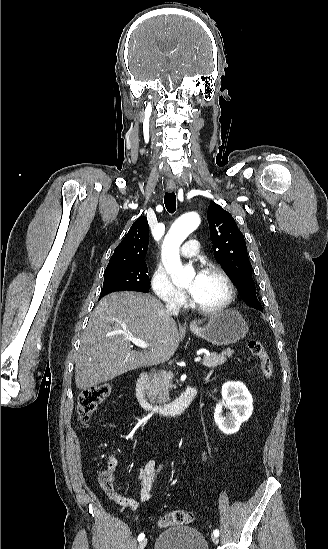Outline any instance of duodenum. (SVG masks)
Listing matches in <instances>:
<instances>
[{
  "mask_svg": "<svg viewBox=\"0 0 328 549\" xmlns=\"http://www.w3.org/2000/svg\"><path fill=\"white\" fill-rule=\"evenodd\" d=\"M149 374L142 372L136 383V396L141 407L149 413L174 416L183 412L197 394L194 386L188 387L178 398L165 404H155L148 397Z\"/></svg>",
  "mask_w": 328,
  "mask_h": 549,
  "instance_id": "obj_1",
  "label": "duodenum"
}]
</instances>
